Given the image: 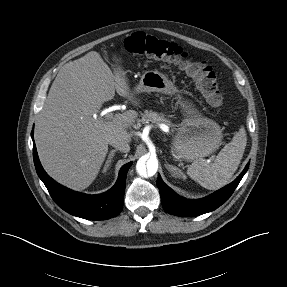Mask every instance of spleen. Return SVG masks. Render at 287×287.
I'll use <instances>...</instances> for the list:
<instances>
[{"label": "spleen", "mask_w": 287, "mask_h": 287, "mask_svg": "<svg viewBox=\"0 0 287 287\" xmlns=\"http://www.w3.org/2000/svg\"><path fill=\"white\" fill-rule=\"evenodd\" d=\"M246 144V131L241 127L232 141L218 153L213 163H207L205 159L199 158L190 165L187 174L209 190L227 185L241 162Z\"/></svg>", "instance_id": "3e777b00"}]
</instances>
